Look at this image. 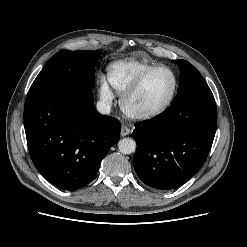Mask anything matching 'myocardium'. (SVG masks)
<instances>
[{"label": "myocardium", "mask_w": 247, "mask_h": 247, "mask_svg": "<svg viewBox=\"0 0 247 247\" xmlns=\"http://www.w3.org/2000/svg\"><path fill=\"white\" fill-rule=\"evenodd\" d=\"M158 70H165L169 72L173 78V89L168 97V99L160 106L154 109L150 110H135L130 106V101L133 98V96L138 92V90L141 88L142 84L146 80V78L158 71ZM179 89V81L177 78V75L175 72L168 66L165 65H156L153 66L144 72H142L132 83L131 85L124 91V93L121 96L120 104L123 109V111L131 118L135 119H141V120H146V119H151L154 117H157L164 113L173 103L177 92Z\"/></svg>", "instance_id": "myocardium-1"}]
</instances>
